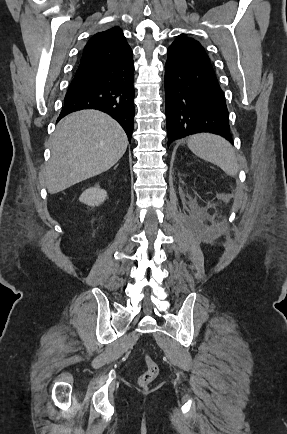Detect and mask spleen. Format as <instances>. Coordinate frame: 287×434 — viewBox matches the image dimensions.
I'll return each instance as SVG.
<instances>
[{"label": "spleen", "mask_w": 287, "mask_h": 434, "mask_svg": "<svg viewBox=\"0 0 287 434\" xmlns=\"http://www.w3.org/2000/svg\"><path fill=\"white\" fill-rule=\"evenodd\" d=\"M187 145L195 155L217 165L226 174L237 175L239 166L234 148L224 138L214 134L200 133L191 136Z\"/></svg>", "instance_id": "1"}]
</instances>
